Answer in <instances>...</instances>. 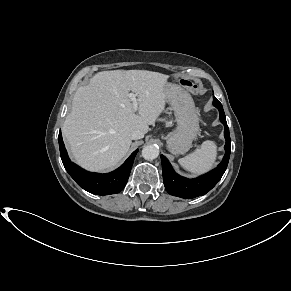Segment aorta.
<instances>
[{"label":"aorta","mask_w":291,"mask_h":291,"mask_svg":"<svg viewBox=\"0 0 291 291\" xmlns=\"http://www.w3.org/2000/svg\"><path fill=\"white\" fill-rule=\"evenodd\" d=\"M159 155V148L156 145H147L142 149V156L146 160H154Z\"/></svg>","instance_id":"1"}]
</instances>
